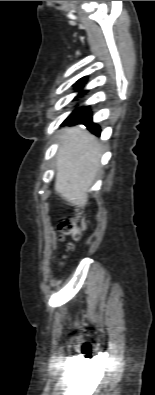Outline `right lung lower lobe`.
I'll return each mask as SVG.
<instances>
[{
	"label": "right lung lower lobe",
	"mask_w": 155,
	"mask_h": 395,
	"mask_svg": "<svg viewBox=\"0 0 155 395\" xmlns=\"http://www.w3.org/2000/svg\"><path fill=\"white\" fill-rule=\"evenodd\" d=\"M64 124H84L95 135H100V127L92 122V115L88 108L68 118Z\"/></svg>",
	"instance_id": "obj_1"
}]
</instances>
